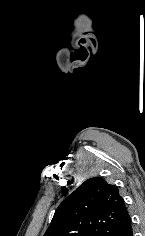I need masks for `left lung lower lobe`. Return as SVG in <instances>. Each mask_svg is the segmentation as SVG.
Instances as JSON below:
<instances>
[{
  "label": "left lung lower lobe",
  "instance_id": "left-lung-lower-lobe-1",
  "mask_svg": "<svg viewBox=\"0 0 145 236\" xmlns=\"http://www.w3.org/2000/svg\"><path fill=\"white\" fill-rule=\"evenodd\" d=\"M118 236H133L131 221L120 231Z\"/></svg>",
  "mask_w": 145,
  "mask_h": 236
}]
</instances>
